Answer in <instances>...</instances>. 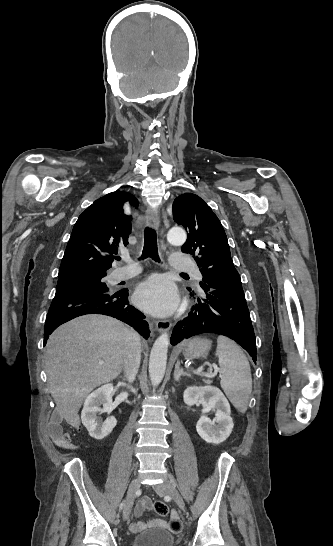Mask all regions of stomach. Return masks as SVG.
<instances>
[{
	"instance_id": "1",
	"label": "stomach",
	"mask_w": 333,
	"mask_h": 546,
	"mask_svg": "<svg viewBox=\"0 0 333 546\" xmlns=\"http://www.w3.org/2000/svg\"><path fill=\"white\" fill-rule=\"evenodd\" d=\"M211 347V342L208 339L195 337L190 341L183 343L180 351L186 358L205 357Z\"/></svg>"
}]
</instances>
